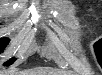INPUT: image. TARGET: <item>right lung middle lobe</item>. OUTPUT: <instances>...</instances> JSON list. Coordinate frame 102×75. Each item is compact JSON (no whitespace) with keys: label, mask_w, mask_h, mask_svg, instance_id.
Masks as SVG:
<instances>
[{"label":"right lung middle lobe","mask_w":102,"mask_h":75,"mask_svg":"<svg viewBox=\"0 0 102 75\" xmlns=\"http://www.w3.org/2000/svg\"><path fill=\"white\" fill-rule=\"evenodd\" d=\"M8 43H9L8 38H2L0 40V44H1L0 49L3 50ZM14 61H15V58H12V59L8 60L4 65L5 66L11 65Z\"/></svg>","instance_id":"dd1d6c3e"}]
</instances>
